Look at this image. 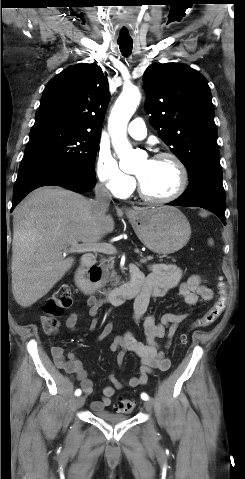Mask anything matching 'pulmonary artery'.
<instances>
[{
	"label": "pulmonary artery",
	"instance_id": "obj_1",
	"mask_svg": "<svg viewBox=\"0 0 245 479\" xmlns=\"http://www.w3.org/2000/svg\"><path fill=\"white\" fill-rule=\"evenodd\" d=\"M128 133L134 139H143L147 134L144 121L141 118L133 119L128 125Z\"/></svg>",
	"mask_w": 245,
	"mask_h": 479
}]
</instances>
